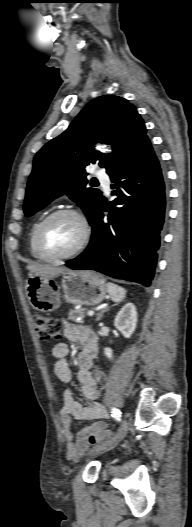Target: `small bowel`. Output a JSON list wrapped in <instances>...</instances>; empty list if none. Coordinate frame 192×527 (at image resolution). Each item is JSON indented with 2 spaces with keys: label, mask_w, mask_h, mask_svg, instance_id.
Returning a JSON list of instances; mask_svg holds the SVG:
<instances>
[{
  "label": "small bowel",
  "mask_w": 192,
  "mask_h": 527,
  "mask_svg": "<svg viewBox=\"0 0 192 527\" xmlns=\"http://www.w3.org/2000/svg\"><path fill=\"white\" fill-rule=\"evenodd\" d=\"M64 331L69 341L79 342L83 345V349L78 356L77 379L83 395L88 400V403L83 405L75 398L72 390H66L64 403L60 410L67 457L75 459L85 451L89 443H94L96 437L104 433L106 425L102 419L106 418L107 412L98 401L99 389L90 372L93 360L98 352L96 334L87 326L71 323H65ZM68 352L69 348L65 343H58L52 349V355L55 359L54 373L63 383H69L72 380V372L66 360ZM73 419L94 420L95 422L80 431L74 441L73 433L70 430Z\"/></svg>",
  "instance_id": "c3829d8e"
}]
</instances>
